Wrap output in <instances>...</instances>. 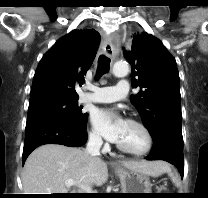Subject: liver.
Here are the masks:
<instances>
[{
  "instance_id": "1",
  "label": "liver",
  "mask_w": 208,
  "mask_h": 198,
  "mask_svg": "<svg viewBox=\"0 0 208 198\" xmlns=\"http://www.w3.org/2000/svg\"><path fill=\"white\" fill-rule=\"evenodd\" d=\"M121 165L153 177L161 175L166 166L160 161H122ZM69 179L80 189L70 190V186H66ZM107 179V163L100 157H92L81 148L59 144H45L35 149L22 172L24 194L76 193L82 191V187L101 186Z\"/></svg>"
}]
</instances>
